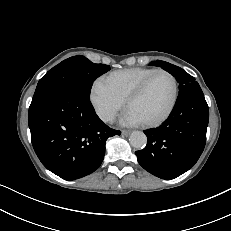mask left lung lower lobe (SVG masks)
I'll use <instances>...</instances> for the list:
<instances>
[{
	"label": "left lung lower lobe",
	"mask_w": 231,
	"mask_h": 231,
	"mask_svg": "<svg viewBox=\"0 0 231 231\" xmlns=\"http://www.w3.org/2000/svg\"><path fill=\"white\" fill-rule=\"evenodd\" d=\"M208 121V105L199 84L183 85L169 118L160 127L144 131L147 145L135 152L139 164L159 178H177L202 154Z\"/></svg>",
	"instance_id": "0a47b994"
}]
</instances>
